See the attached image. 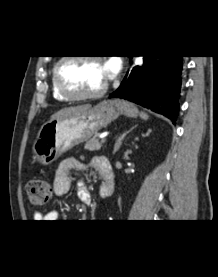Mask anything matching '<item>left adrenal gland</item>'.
<instances>
[{"label":"left adrenal gland","mask_w":218,"mask_h":277,"mask_svg":"<svg viewBox=\"0 0 218 277\" xmlns=\"http://www.w3.org/2000/svg\"><path fill=\"white\" fill-rule=\"evenodd\" d=\"M136 127L137 125L131 127L129 130L123 132L120 136L116 138L113 154H115L119 150L126 136ZM150 132L151 130H148L147 134H149Z\"/></svg>","instance_id":"1"}]
</instances>
